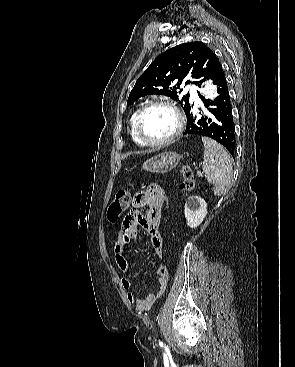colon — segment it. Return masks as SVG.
<instances>
[{"label": "colon", "instance_id": "5ec220e1", "mask_svg": "<svg viewBox=\"0 0 295 367\" xmlns=\"http://www.w3.org/2000/svg\"><path fill=\"white\" fill-rule=\"evenodd\" d=\"M182 182L180 183V189L184 191H191L194 188V176L192 170L188 166H183L181 169ZM130 192L127 189H121L116 192L115 197L108 209V218L111 222H115L119 216L129 207L130 205ZM163 211L169 212L170 201L169 195L163 196Z\"/></svg>", "mask_w": 295, "mask_h": 367}]
</instances>
